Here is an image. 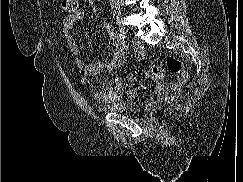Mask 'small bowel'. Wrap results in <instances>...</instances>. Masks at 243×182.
I'll return each instance as SVG.
<instances>
[{"label": "small bowel", "instance_id": "1", "mask_svg": "<svg viewBox=\"0 0 243 182\" xmlns=\"http://www.w3.org/2000/svg\"><path fill=\"white\" fill-rule=\"evenodd\" d=\"M85 17V12L78 9L76 12L71 13L64 17L61 22V32L66 39L67 45L75 58V63L81 75V82L84 85H91L90 77L96 76L103 70H113L122 66L127 58L129 52V45L116 38L114 35L113 27L109 23H103V28L110 35L111 43L115 46L116 50L112 58L107 62H95L88 64L80 55V47L76 41L73 30L77 22L82 21ZM137 55L142 57L144 52L142 49H137ZM128 84L133 82L132 76L128 77ZM124 90V84L121 81H115L114 84L107 91H95L94 98L99 102H115L118 100L121 92ZM130 90H126L128 93Z\"/></svg>", "mask_w": 243, "mask_h": 182}]
</instances>
